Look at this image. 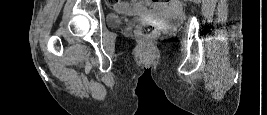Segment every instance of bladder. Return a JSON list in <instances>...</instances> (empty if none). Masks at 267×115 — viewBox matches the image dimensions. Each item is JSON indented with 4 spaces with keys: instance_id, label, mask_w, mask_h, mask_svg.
<instances>
[{
    "instance_id": "obj_1",
    "label": "bladder",
    "mask_w": 267,
    "mask_h": 115,
    "mask_svg": "<svg viewBox=\"0 0 267 115\" xmlns=\"http://www.w3.org/2000/svg\"><path fill=\"white\" fill-rule=\"evenodd\" d=\"M127 21V19H125L124 17L118 16V15H111L108 18V23L111 26H119L123 23H125Z\"/></svg>"
}]
</instances>
